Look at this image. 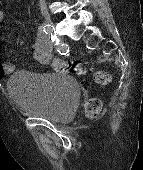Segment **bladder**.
<instances>
[{
	"instance_id": "1",
	"label": "bladder",
	"mask_w": 143,
	"mask_h": 170,
	"mask_svg": "<svg viewBox=\"0 0 143 170\" xmlns=\"http://www.w3.org/2000/svg\"><path fill=\"white\" fill-rule=\"evenodd\" d=\"M7 91L21 112L53 122L73 119L81 97L77 81L64 72L19 70Z\"/></svg>"
}]
</instances>
